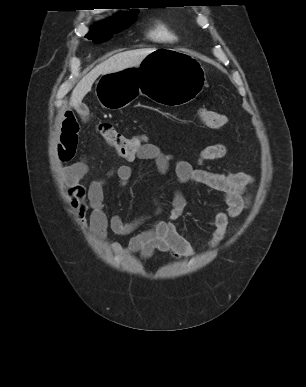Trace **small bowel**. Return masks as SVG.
Returning <instances> with one entry per match:
<instances>
[{"mask_svg":"<svg viewBox=\"0 0 306 387\" xmlns=\"http://www.w3.org/2000/svg\"><path fill=\"white\" fill-rule=\"evenodd\" d=\"M79 131L76 116L71 111L67 112L61 120L57 143V154L62 162L69 163L74 158L79 143ZM227 152L228 149L223 144L209 145L200 151L198 162L219 160ZM124 159L151 161L160 174L168 173L173 166L179 183L193 182L221 195L223 207L214 208V230L209 241L211 247H216L224 239L230 219L239 217L248 206L246 190L253 181L250 174L219 173L196 168L190 161L177 159L149 142ZM86 173L87 164L84 161L71 163L64 168L65 195L77 220L88 227L96 238L104 239L109 230L119 236H130L126 245L115 242L112 245L113 250L137 253L144 259L150 258L156 251L171 253L175 257H188L194 253L193 246L182 236L176 224L187 205L181 190L173 192L167 219H156L147 229L138 231L147 220L146 217L126 222L118 214L108 216L104 205L107 180L116 179L119 187H125L131 180L132 168L129 165H117L105 177L94 179L88 185L82 183ZM155 206V214L160 215L162 207L158 200H155Z\"/></svg>","mask_w":306,"mask_h":387,"instance_id":"c3829d8e","label":"small bowel"}]
</instances>
